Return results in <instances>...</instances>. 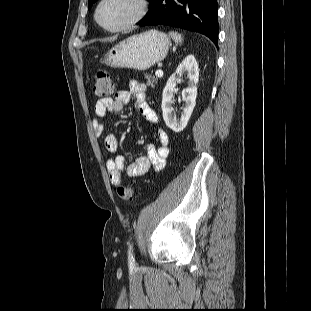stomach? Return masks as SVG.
I'll return each instance as SVG.
<instances>
[{
    "label": "stomach",
    "instance_id": "obj_1",
    "mask_svg": "<svg viewBox=\"0 0 311 311\" xmlns=\"http://www.w3.org/2000/svg\"><path fill=\"white\" fill-rule=\"evenodd\" d=\"M169 47L168 36L151 29L116 44L106 53L103 63L113 68L147 70L166 57Z\"/></svg>",
    "mask_w": 311,
    "mask_h": 311
}]
</instances>
